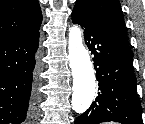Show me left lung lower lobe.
Wrapping results in <instances>:
<instances>
[{
    "mask_svg": "<svg viewBox=\"0 0 145 124\" xmlns=\"http://www.w3.org/2000/svg\"><path fill=\"white\" fill-rule=\"evenodd\" d=\"M72 21L84 29L85 43L94 55L98 95L75 124L115 121L143 124L141 103L136 90L133 54L128 43L72 12Z\"/></svg>",
    "mask_w": 145,
    "mask_h": 124,
    "instance_id": "1",
    "label": "left lung lower lobe"
}]
</instances>
